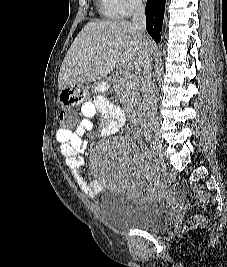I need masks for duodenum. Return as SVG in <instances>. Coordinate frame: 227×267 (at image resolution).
I'll use <instances>...</instances> for the list:
<instances>
[{
  "label": "duodenum",
  "instance_id": "duodenum-1",
  "mask_svg": "<svg viewBox=\"0 0 227 267\" xmlns=\"http://www.w3.org/2000/svg\"><path fill=\"white\" fill-rule=\"evenodd\" d=\"M132 117L134 121L139 122L141 119V114L140 112L134 110L132 111Z\"/></svg>",
  "mask_w": 227,
  "mask_h": 267
}]
</instances>
